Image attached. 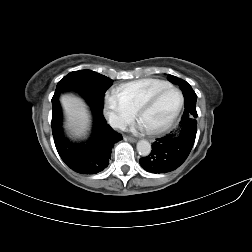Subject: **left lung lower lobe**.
<instances>
[{
	"instance_id": "1",
	"label": "left lung lower lobe",
	"mask_w": 252,
	"mask_h": 252,
	"mask_svg": "<svg viewBox=\"0 0 252 252\" xmlns=\"http://www.w3.org/2000/svg\"><path fill=\"white\" fill-rule=\"evenodd\" d=\"M185 110L176 132L156 139L150 155L139 160L140 165L151 173H167L177 169L187 159L194 145L197 132V95L192 88L181 89Z\"/></svg>"
}]
</instances>
